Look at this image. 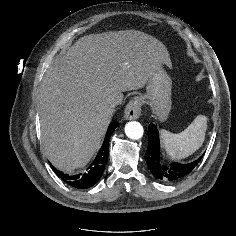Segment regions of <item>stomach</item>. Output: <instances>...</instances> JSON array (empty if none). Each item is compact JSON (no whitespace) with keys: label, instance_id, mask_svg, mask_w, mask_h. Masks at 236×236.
Masks as SVG:
<instances>
[{"label":"stomach","instance_id":"stomach-1","mask_svg":"<svg viewBox=\"0 0 236 236\" xmlns=\"http://www.w3.org/2000/svg\"><path fill=\"white\" fill-rule=\"evenodd\" d=\"M162 65H158L151 72L147 83V94L143 97L160 121L166 120L170 112L172 87V81Z\"/></svg>","mask_w":236,"mask_h":236}]
</instances>
